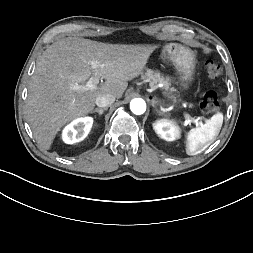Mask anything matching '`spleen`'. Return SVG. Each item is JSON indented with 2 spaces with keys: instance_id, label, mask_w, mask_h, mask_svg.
<instances>
[{
  "instance_id": "1",
  "label": "spleen",
  "mask_w": 253,
  "mask_h": 253,
  "mask_svg": "<svg viewBox=\"0 0 253 253\" xmlns=\"http://www.w3.org/2000/svg\"><path fill=\"white\" fill-rule=\"evenodd\" d=\"M223 123V114L216 113L205 124L193 128L187 134L186 153L196 155L201 153L220 132Z\"/></svg>"
}]
</instances>
